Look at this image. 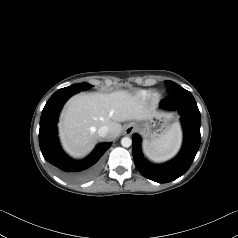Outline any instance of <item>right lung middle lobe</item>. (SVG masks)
I'll return each instance as SVG.
<instances>
[{"mask_svg":"<svg viewBox=\"0 0 238 238\" xmlns=\"http://www.w3.org/2000/svg\"><path fill=\"white\" fill-rule=\"evenodd\" d=\"M77 85V87H80L82 90H86L92 87V85L88 84V83H78V84H74Z\"/></svg>","mask_w":238,"mask_h":238,"instance_id":"1","label":"right lung middle lobe"}]
</instances>
